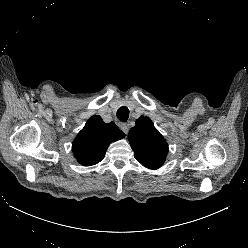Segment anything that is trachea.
I'll list each match as a JSON object with an SVG mask.
<instances>
[{
  "instance_id": "3493384b",
  "label": "trachea",
  "mask_w": 248,
  "mask_h": 248,
  "mask_svg": "<svg viewBox=\"0 0 248 248\" xmlns=\"http://www.w3.org/2000/svg\"><path fill=\"white\" fill-rule=\"evenodd\" d=\"M116 115L120 121L126 122L129 117V109L126 106H122L118 109Z\"/></svg>"
}]
</instances>
